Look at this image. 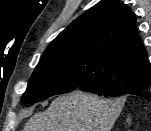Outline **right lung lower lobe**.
Returning <instances> with one entry per match:
<instances>
[{"label":"right lung lower lobe","instance_id":"98d812e1","mask_svg":"<svg viewBox=\"0 0 151 131\" xmlns=\"http://www.w3.org/2000/svg\"><path fill=\"white\" fill-rule=\"evenodd\" d=\"M76 83H77V88L81 89L82 91L95 93V94H98L99 96L118 97L124 94H132V95L143 97L144 99L148 101L151 100V92L149 90L150 84L138 86L126 92H119L114 89L102 87L101 85L99 86L94 85L92 81L89 82L88 78L83 79L82 77H80L76 80Z\"/></svg>","mask_w":151,"mask_h":131}]
</instances>
